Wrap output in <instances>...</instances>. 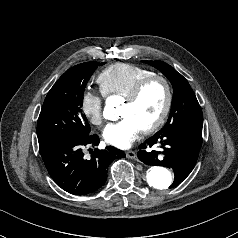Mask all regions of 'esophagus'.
<instances>
[{
    "label": "esophagus",
    "instance_id": "1",
    "mask_svg": "<svg viewBox=\"0 0 238 238\" xmlns=\"http://www.w3.org/2000/svg\"><path fill=\"white\" fill-rule=\"evenodd\" d=\"M126 156L130 159L138 160L137 153L133 150L126 151Z\"/></svg>",
    "mask_w": 238,
    "mask_h": 238
}]
</instances>
